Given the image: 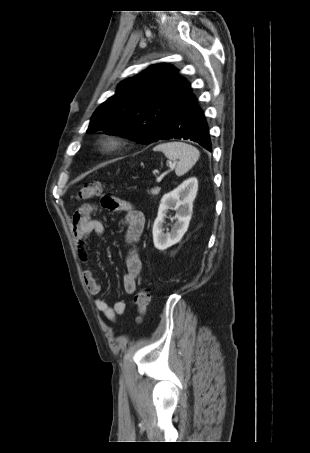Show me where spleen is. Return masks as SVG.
<instances>
[{
    "label": "spleen",
    "instance_id": "obj_1",
    "mask_svg": "<svg viewBox=\"0 0 310 453\" xmlns=\"http://www.w3.org/2000/svg\"><path fill=\"white\" fill-rule=\"evenodd\" d=\"M154 151H161L169 160H178L175 168L177 176L187 173L198 161L200 157L199 150L184 142H167L155 146Z\"/></svg>",
    "mask_w": 310,
    "mask_h": 453
}]
</instances>
